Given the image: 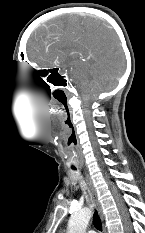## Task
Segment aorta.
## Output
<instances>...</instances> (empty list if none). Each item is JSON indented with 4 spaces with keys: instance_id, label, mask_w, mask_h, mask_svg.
Returning a JSON list of instances; mask_svg holds the SVG:
<instances>
[{
    "instance_id": "aorta-1",
    "label": "aorta",
    "mask_w": 145,
    "mask_h": 233,
    "mask_svg": "<svg viewBox=\"0 0 145 233\" xmlns=\"http://www.w3.org/2000/svg\"><path fill=\"white\" fill-rule=\"evenodd\" d=\"M91 214V210L87 207L76 211L68 222L67 233H86Z\"/></svg>"
}]
</instances>
